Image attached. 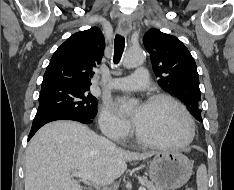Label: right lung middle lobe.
Returning <instances> with one entry per match:
<instances>
[{"label": "right lung middle lobe", "mask_w": 234, "mask_h": 190, "mask_svg": "<svg viewBox=\"0 0 234 190\" xmlns=\"http://www.w3.org/2000/svg\"><path fill=\"white\" fill-rule=\"evenodd\" d=\"M89 91V87L66 84L42 85L39 107L32 126L57 114H71L93 119L96 114L97 100Z\"/></svg>", "instance_id": "dd1d6c3e"}]
</instances>
